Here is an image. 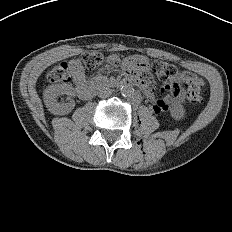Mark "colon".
Here are the masks:
<instances>
[{
    "instance_id": "colon-1",
    "label": "colon",
    "mask_w": 232,
    "mask_h": 232,
    "mask_svg": "<svg viewBox=\"0 0 232 232\" xmlns=\"http://www.w3.org/2000/svg\"><path fill=\"white\" fill-rule=\"evenodd\" d=\"M76 62L88 70H94L102 64L103 55L100 52L85 53ZM152 69L155 75L162 81H170L177 74V70L173 65L162 61H154ZM47 78L51 83L68 82L70 80L69 65L65 62L55 64L49 70ZM186 94L191 102H200L202 98V85L194 83L187 85Z\"/></svg>"
}]
</instances>
